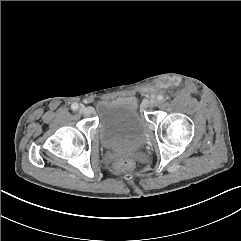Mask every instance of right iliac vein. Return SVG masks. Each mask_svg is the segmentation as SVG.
Listing matches in <instances>:
<instances>
[{
  "label": "right iliac vein",
  "mask_w": 241,
  "mask_h": 241,
  "mask_svg": "<svg viewBox=\"0 0 241 241\" xmlns=\"http://www.w3.org/2000/svg\"><path fill=\"white\" fill-rule=\"evenodd\" d=\"M79 112L84 114V115H90L91 114V109L88 108V107L82 106V107L79 108Z\"/></svg>",
  "instance_id": "obj_1"
}]
</instances>
